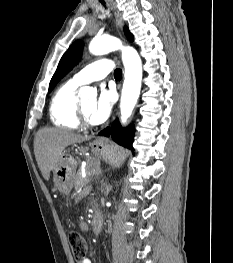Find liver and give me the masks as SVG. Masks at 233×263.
<instances>
[{
    "label": "liver",
    "instance_id": "6515ba94",
    "mask_svg": "<svg viewBox=\"0 0 233 263\" xmlns=\"http://www.w3.org/2000/svg\"><path fill=\"white\" fill-rule=\"evenodd\" d=\"M89 139V136H83L62 128L39 130L34 140V153L43 178L49 180L50 172L56 167L65 147Z\"/></svg>",
    "mask_w": 233,
    "mask_h": 263
}]
</instances>
